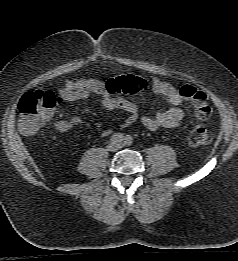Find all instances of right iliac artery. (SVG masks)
Returning <instances> with one entry per match:
<instances>
[{"label":"right iliac artery","instance_id":"1","mask_svg":"<svg viewBox=\"0 0 238 261\" xmlns=\"http://www.w3.org/2000/svg\"><path fill=\"white\" fill-rule=\"evenodd\" d=\"M123 140H124V136L121 133H115L110 138V142L113 144L120 143Z\"/></svg>","mask_w":238,"mask_h":261}]
</instances>
